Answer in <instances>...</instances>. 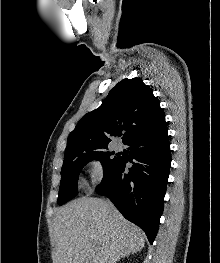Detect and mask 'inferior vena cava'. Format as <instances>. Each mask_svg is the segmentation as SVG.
<instances>
[{
	"instance_id": "602c4592",
	"label": "inferior vena cava",
	"mask_w": 220,
	"mask_h": 263,
	"mask_svg": "<svg viewBox=\"0 0 220 263\" xmlns=\"http://www.w3.org/2000/svg\"><path fill=\"white\" fill-rule=\"evenodd\" d=\"M107 204H108L109 207H112V204H111L110 201H107Z\"/></svg>"
}]
</instances>
